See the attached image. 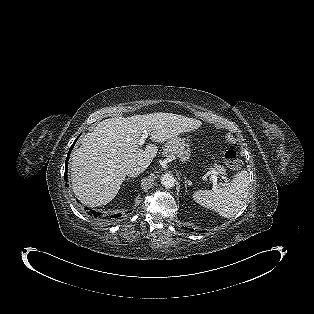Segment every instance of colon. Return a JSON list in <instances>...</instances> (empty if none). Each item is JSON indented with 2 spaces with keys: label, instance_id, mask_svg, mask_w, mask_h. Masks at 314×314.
<instances>
[{
  "label": "colon",
  "instance_id": "obj_1",
  "mask_svg": "<svg viewBox=\"0 0 314 314\" xmlns=\"http://www.w3.org/2000/svg\"><path fill=\"white\" fill-rule=\"evenodd\" d=\"M223 159L225 163L232 169H238L240 167V161L238 154L233 149H228L223 153Z\"/></svg>",
  "mask_w": 314,
  "mask_h": 314
}]
</instances>
